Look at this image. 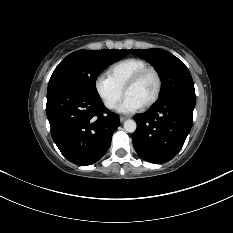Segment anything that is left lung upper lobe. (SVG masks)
<instances>
[{"instance_id":"5c2ea615","label":"left lung upper lobe","mask_w":233,"mask_h":233,"mask_svg":"<svg viewBox=\"0 0 233 233\" xmlns=\"http://www.w3.org/2000/svg\"><path fill=\"white\" fill-rule=\"evenodd\" d=\"M145 58L158 70L162 79L160 100L179 95L195 97L194 83L185 64L173 54L162 49L130 50Z\"/></svg>"}]
</instances>
